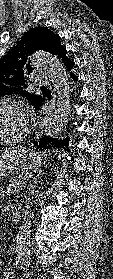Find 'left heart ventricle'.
Instances as JSON below:
<instances>
[{"mask_svg": "<svg viewBox=\"0 0 113 279\" xmlns=\"http://www.w3.org/2000/svg\"><path fill=\"white\" fill-rule=\"evenodd\" d=\"M26 121L27 116L20 108L9 104L0 105V138L21 134Z\"/></svg>", "mask_w": 113, "mask_h": 279, "instance_id": "obj_1", "label": "left heart ventricle"}]
</instances>
